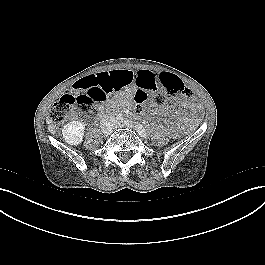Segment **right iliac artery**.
Wrapping results in <instances>:
<instances>
[{
	"mask_svg": "<svg viewBox=\"0 0 265 265\" xmlns=\"http://www.w3.org/2000/svg\"><path fill=\"white\" fill-rule=\"evenodd\" d=\"M117 120L118 121H122L123 120V115L122 114H118L117 115Z\"/></svg>",
	"mask_w": 265,
	"mask_h": 265,
	"instance_id": "obj_1",
	"label": "right iliac artery"
}]
</instances>
